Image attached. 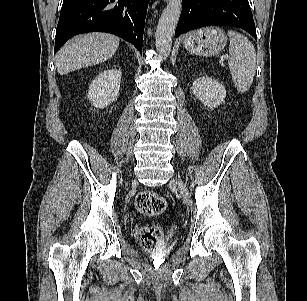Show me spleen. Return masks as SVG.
<instances>
[{"label": "spleen", "mask_w": 307, "mask_h": 301, "mask_svg": "<svg viewBox=\"0 0 307 301\" xmlns=\"http://www.w3.org/2000/svg\"><path fill=\"white\" fill-rule=\"evenodd\" d=\"M230 39L228 66L233 83L240 93L249 90L256 72V52L247 37L236 31H228Z\"/></svg>", "instance_id": "3e777b00"}]
</instances>
